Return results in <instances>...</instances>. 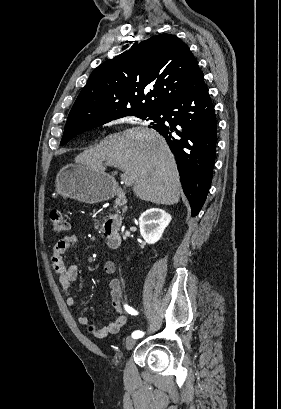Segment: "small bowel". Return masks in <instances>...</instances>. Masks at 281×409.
I'll return each mask as SVG.
<instances>
[{
    "instance_id": "c3829d8e",
    "label": "small bowel",
    "mask_w": 281,
    "mask_h": 409,
    "mask_svg": "<svg viewBox=\"0 0 281 409\" xmlns=\"http://www.w3.org/2000/svg\"><path fill=\"white\" fill-rule=\"evenodd\" d=\"M77 242L75 234H67L58 240L54 246L52 255L53 267L58 274V280L62 287L66 303L69 307L76 309L78 307L74 296L70 292L71 284L78 277V267L75 264L66 266L64 262V254ZM103 270L107 275H112L116 270V265L112 260L104 263ZM109 293L111 297V305L116 317L105 326H99L90 322L86 314H79L77 317L78 323L97 338L106 337L109 334H116L126 323V317L123 312V293L122 282L119 279H111L108 283Z\"/></svg>"
}]
</instances>
